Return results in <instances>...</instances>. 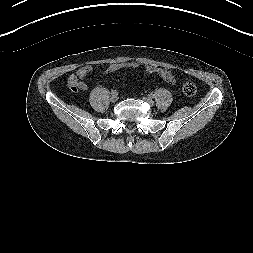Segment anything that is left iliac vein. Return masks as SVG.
I'll return each mask as SVG.
<instances>
[{
    "label": "left iliac vein",
    "instance_id": "4c4485c4",
    "mask_svg": "<svg viewBox=\"0 0 253 253\" xmlns=\"http://www.w3.org/2000/svg\"><path fill=\"white\" fill-rule=\"evenodd\" d=\"M144 101L148 102L150 105H154V101L151 98H143Z\"/></svg>",
    "mask_w": 253,
    "mask_h": 253
}]
</instances>
